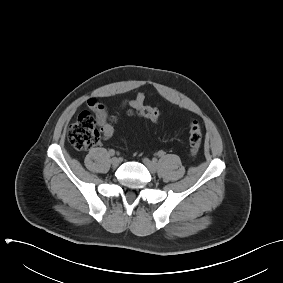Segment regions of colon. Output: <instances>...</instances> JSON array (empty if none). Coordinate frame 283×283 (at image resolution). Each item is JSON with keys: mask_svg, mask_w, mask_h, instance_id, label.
<instances>
[{"mask_svg": "<svg viewBox=\"0 0 283 283\" xmlns=\"http://www.w3.org/2000/svg\"><path fill=\"white\" fill-rule=\"evenodd\" d=\"M134 111L141 117L147 118L153 122L159 120V112L150 106H139ZM130 114L133 110L129 111ZM116 119L111 118L100 129L96 126V121L91 113L83 111L79 114L76 121L68 129V140L70 144L78 150H86L95 146L100 136L110 139L114 135V125ZM202 143V130L197 121L191 123L189 128V145L191 157H196L199 153Z\"/></svg>", "mask_w": 283, "mask_h": 283, "instance_id": "5ec220e1", "label": "colon"}]
</instances>
